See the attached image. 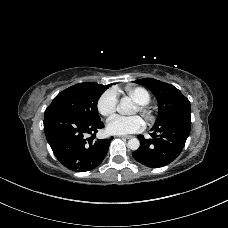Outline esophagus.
Listing matches in <instances>:
<instances>
[{
	"mask_svg": "<svg viewBox=\"0 0 228 228\" xmlns=\"http://www.w3.org/2000/svg\"><path fill=\"white\" fill-rule=\"evenodd\" d=\"M118 137L122 138V139H130V138H132L131 135H119Z\"/></svg>",
	"mask_w": 228,
	"mask_h": 228,
	"instance_id": "esophagus-1",
	"label": "esophagus"
}]
</instances>
